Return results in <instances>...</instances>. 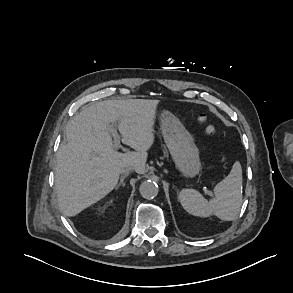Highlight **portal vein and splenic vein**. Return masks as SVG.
Masks as SVG:
<instances>
[{"instance_id": "obj_1", "label": "portal vein and splenic vein", "mask_w": 293, "mask_h": 293, "mask_svg": "<svg viewBox=\"0 0 293 293\" xmlns=\"http://www.w3.org/2000/svg\"><path fill=\"white\" fill-rule=\"evenodd\" d=\"M111 134L113 135V138H114V148L115 149L120 148V146H121L120 145V135L113 128L111 129ZM210 195H212V194L210 193Z\"/></svg>"}]
</instances>
